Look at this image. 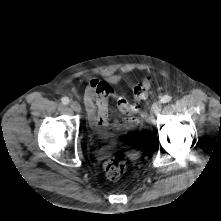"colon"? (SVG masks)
<instances>
[{
	"mask_svg": "<svg viewBox=\"0 0 221 221\" xmlns=\"http://www.w3.org/2000/svg\"><path fill=\"white\" fill-rule=\"evenodd\" d=\"M91 81H99L92 79ZM152 80L150 77H145L138 85L133 89L134 101L129 104L126 98L121 97L118 102L126 104L129 110L137 111L139 109L140 102L144 100L151 88ZM126 170V158L124 154L117 153L112 159L104 164V171L106 177L110 181L119 180Z\"/></svg>",
	"mask_w": 221,
	"mask_h": 221,
	"instance_id": "5ec220e1",
	"label": "colon"
}]
</instances>
